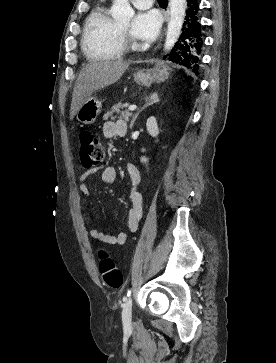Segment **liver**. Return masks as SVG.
I'll list each match as a JSON object with an SVG mask.
<instances>
[{"instance_id":"1","label":"liver","mask_w":276,"mask_h":363,"mask_svg":"<svg viewBox=\"0 0 276 363\" xmlns=\"http://www.w3.org/2000/svg\"><path fill=\"white\" fill-rule=\"evenodd\" d=\"M124 61H100L86 64L80 71L74 86L70 119H73L82 103L93 93L117 82L128 69Z\"/></svg>"}]
</instances>
